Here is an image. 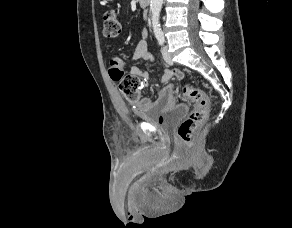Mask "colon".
<instances>
[{"label": "colon", "mask_w": 292, "mask_h": 228, "mask_svg": "<svg viewBox=\"0 0 292 228\" xmlns=\"http://www.w3.org/2000/svg\"><path fill=\"white\" fill-rule=\"evenodd\" d=\"M103 33L108 38H117L121 34V23L115 12L108 11L104 14ZM109 74L112 80L118 84L120 92L127 100L131 102L138 100L140 81L136 76L124 74L119 58L111 60ZM183 95L187 100L194 103L193 110L178 128L179 137L189 144L192 142L197 128L207 120L210 98L203 90L193 86H186L183 89Z\"/></svg>", "instance_id": "obj_1"}]
</instances>
